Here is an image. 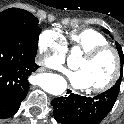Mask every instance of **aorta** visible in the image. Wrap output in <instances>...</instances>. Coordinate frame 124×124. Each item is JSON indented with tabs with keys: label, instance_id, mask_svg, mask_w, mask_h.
Segmentation results:
<instances>
[{
	"label": "aorta",
	"instance_id": "1",
	"mask_svg": "<svg viewBox=\"0 0 124 124\" xmlns=\"http://www.w3.org/2000/svg\"><path fill=\"white\" fill-rule=\"evenodd\" d=\"M67 88L66 80L59 75H51L43 83V89L52 95H61Z\"/></svg>",
	"mask_w": 124,
	"mask_h": 124
}]
</instances>
